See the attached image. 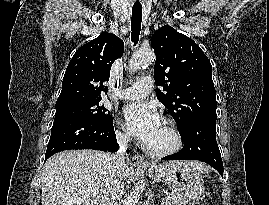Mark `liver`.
<instances>
[{"instance_id": "1", "label": "liver", "mask_w": 269, "mask_h": 205, "mask_svg": "<svg viewBox=\"0 0 269 205\" xmlns=\"http://www.w3.org/2000/svg\"><path fill=\"white\" fill-rule=\"evenodd\" d=\"M109 156L96 150H70L49 158L42 179V205H99L112 176ZM187 163L196 171H206L202 163ZM130 173L125 164L123 180Z\"/></svg>"}]
</instances>
